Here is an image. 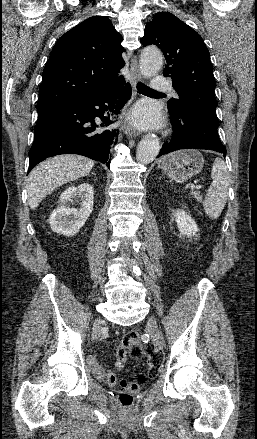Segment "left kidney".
<instances>
[{
  "label": "left kidney",
  "instance_id": "1",
  "mask_svg": "<svg viewBox=\"0 0 257 439\" xmlns=\"http://www.w3.org/2000/svg\"><path fill=\"white\" fill-rule=\"evenodd\" d=\"M175 220L180 232V236H187L190 238H197L198 227L195 221L186 214L183 210H176Z\"/></svg>",
  "mask_w": 257,
  "mask_h": 439
}]
</instances>
